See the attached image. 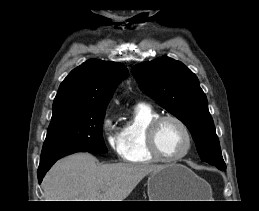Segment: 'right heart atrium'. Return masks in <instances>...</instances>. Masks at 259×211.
<instances>
[{"mask_svg":"<svg viewBox=\"0 0 259 211\" xmlns=\"http://www.w3.org/2000/svg\"><path fill=\"white\" fill-rule=\"evenodd\" d=\"M102 132L108 147L118 156L122 154V141L113 118L106 114L102 120Z\"/></svg>","mask_w":259,"mask_h":211,"instance_id":"d8ad5b80","label":"right heart atrium"}]
</instances>
